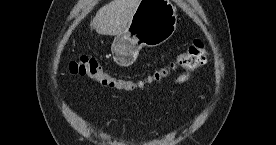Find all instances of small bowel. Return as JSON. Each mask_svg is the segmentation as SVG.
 Masks as SVG:
<instances>
[{
  "mask_svg": "<svg viewBox=\"0 0 276 145\" xmlns=\"http://www.w3.org/2000/svg\"><path fill=\"white\" fill-rule=\"evenodd\" d=\"M190 74L189 73H183L179 75L176 79V83H184L187 82L190 79ZM107 127H110L112 124V119L110 116L107 115V120H106Z\"/></svg>",
  "mask_w": 276,
  "mask_h": 145,
  "instance_id": "obj_1",
  "label": "small bowel"
}]
</instances>
